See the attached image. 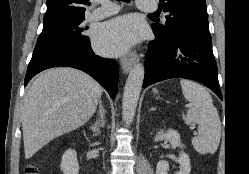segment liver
Masks as SVG:
<instances>
[{
  "label": "liver",
  "mask_w": 249,
  "mask_h": 174,
  "mask_svg": "<svg viewBox=\"0 0 249 174\" xmlns=\"http://www.w3.org/2000/svg\"><path fill=\"white\" fill-rule=\"evenodd\" d=\"M101 95L102 87L74 68H54L36 77L21 111L25 159L51 140L86 124Z\"/></svg>",
  "instance_id": "6515ba94"
}]
</instances>
